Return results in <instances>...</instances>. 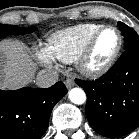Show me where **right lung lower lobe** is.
I'll return each mask as SVG.
<instances>
[{"mask_svg": "<svg viewBox=\"0 0 139 139\" xmlns=\"http://www.w3.org/2000/svg\"><path fill=\"white\" fill-rule=\"evenodd\" d=\"M59 81L49 88L0 90V139H38L47 130L51 111L66 94Z\"/></svg>", "mask_w": 139, "mask_h": 139, "instance_id": "right-lung-lower-lobe-1", "label": "right lung lower lobe"}]
</instances>
